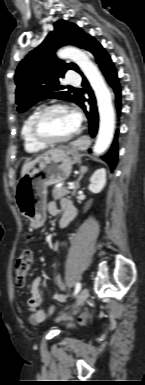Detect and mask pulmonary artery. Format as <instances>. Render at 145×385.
Here are the masks:
<instances>
[{"instance_id": "e3ab8cb5", "label": "pulmonary artery", "mask_w": 145, "mask_h": 385, "mask_svg": "<svg viewBox=\"0 0 145 385\" xmlns=\"http://www.w3.org/2000/svg\"><path fill=\"white\" fill-rule=\"evenodd\" d=\"M80 82V77L77 74L70 73L67 77V83L71 85L78 84Z\"/></svg>"}]
</instances>
